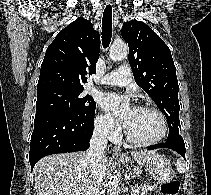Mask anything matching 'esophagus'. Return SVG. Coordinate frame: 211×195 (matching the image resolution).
<instances>
[{"label": "esophagus", "instance_id": "34e87169", "mask_svg": "<svg viewBox=\"0 0 211 195\" xmlns=\"http://www.w3.org/2000/svg\"><path fill=\"white\" fill-rule=\"evenodd\" d=\"M112 154L114 157H121V158L125 157L120 146H114Z\"/></svg>", "mask_w": 211, "mask_h": 195}]
</instances>
